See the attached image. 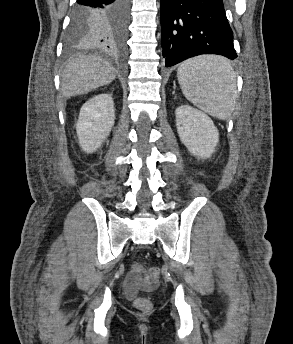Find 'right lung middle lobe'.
<instances>
[{
    "label": "right lung middle lobe",
    "instance_id": "right-lung-middle-lobe-1",
    "mask_svg": "<svg viewBox=\"0 0 293 344\" xmlns=\"http://www.w3.org/2000/svg\"><path fill=\"white\" fill-rule=\"evenodd\" d=\"M90 18L84 12H77L74 9L71 24L68 30L66 43L68 47L88 44V34L86 31Z\"/></svg>",
    "mask_w": 293,
    "mask_h": 344
}]
</instances>
